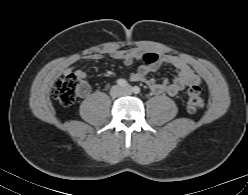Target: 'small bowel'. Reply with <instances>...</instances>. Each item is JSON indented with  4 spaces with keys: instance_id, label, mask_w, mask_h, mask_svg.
I'll use <instances>...</instances> for the list:
<instances>
[{
    "instance_id": "obj_1",
    "label": "small bowel",
    "mask_w": 248,
    "mask_h": 195,
    "mask_svg": "<svg viewBox=\"0 0 248 195\" xmlns=\"http://www.w3.org/2000/svg\"><path fill=\"white\" fill-rule=\"evenodd\" d=\"M135 55V51H110L107 54H91L87 56L89 61H101L106 57H110L116 60L123 61L125 64L132 62ZM162 66H169L174 68L177 71V76L172 81H162L158 82L153 78L147 77L148 73L158 70ZM67 73L73 72L79 78L85 79L87 73L83 69L79 68H68ZM131 79L133 81H142L148 85L150 90L156 94L160 95L167 93L168 95L175 97L177 96L184 88L188 86L198 85L201 83V77L181 58L173 55H161L158 56L156 62L140 66L136 71L131 74ZM89 88L87 87L83 95L88 94Z\"/></svg>"
}]
</instances>
